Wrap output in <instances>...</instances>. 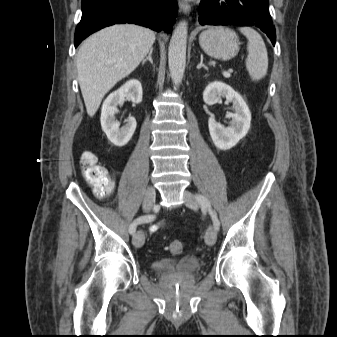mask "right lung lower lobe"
<instances>
[{"instance_id":"obj_1","label":"right lung lower lobe","mask_w":337,"mask_h":337,"mask_svg":"<svg viewBox=\"0 0 337 337\" xmlns=\"http://www.w3.org/2000/svg\"><path fill=\"white\" fill-rule=\"evenodd\" d=\"M177 13L176 0H82L74 44L77 47L90 34L113 24L134 23L169 33Z\"/></svg>"}]
</instances>
